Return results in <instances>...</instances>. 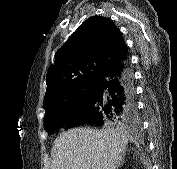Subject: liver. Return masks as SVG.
<instances>
[{
    "label": "liver",
    "mask_w": 177,
    "mask_h": 169,
    "mask_svg": "<svg viewBox=\"0 0 177 169\" xmlns=\"http://www.w3.org/2000/svg\"><path fill=\"white\" fill-rule=\"evenodd\" d=\"M127 144L128 136L120 128L71 129L54 141L51 169H115Z\"/></svg>",
    "instance_id": "liver-1"
}]
</instances>
